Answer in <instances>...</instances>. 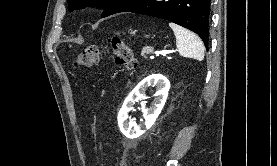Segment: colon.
I'll list each match as a JSON object with an SVG mask.
<instances>
[{
	"mask_svg": "<svg viewBox=\"0 0 277 166\" xmlns=\"http://www.w3.org/2000/svg\"><path fill=\"white\" fill-rule=\"evenodd\" d=\"M108 45L112 49L115 61L118 65L134 70L137 66V60L132 48L117 36L108 38ZM101 57V48L92 45L82 49L75 58L77 67H90L98 63Z\"/></svg>",
	"mask_w": 277,
	"mask_h": 166,
	"instance_id": "1",
	"label": "colon"
}]
</instances>
